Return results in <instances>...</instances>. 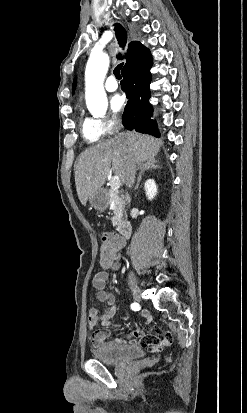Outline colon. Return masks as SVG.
Listing matches in <instances>:
<instances>
[{
	"instance_id": "obj_1",
	"label": "colon",
	"mask_w": 247,
	"mask_h": 413,
	"mask_svg": "<svg viewBox=\"0 0 247 413\" xmlns=\"http://www.w3.org/2000/svg\"><path fill=\"white\" fill-rule=\"evenodd\" d=\"M113 236L104 235L102 241L96 246V261L100 263L102 267H107L109 261H115L116 255L122 253L120 247V241L114 242Z\"/></svg>"
}]
</instances>
